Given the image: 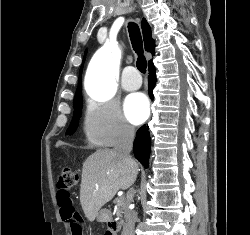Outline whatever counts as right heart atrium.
Masks as SVG:
<instances>
[{
	"label": "right heart atrium",
	"mask_w": 250,
	"mask_h": 235,
	"mask_svg": "<svg viewBox=\"0 0 250 235\" xmlns=\"http://www.w3.org/2000/svg\"><path fill=\"white\" fill-rule=\"evenodd\" d=\"M83 133L90 144L114 146L133 140L135 129L116 103L89 100L83 117Z\"/></svg>",
	"instance_id": "d8ad5b80"
}]
</instances>
